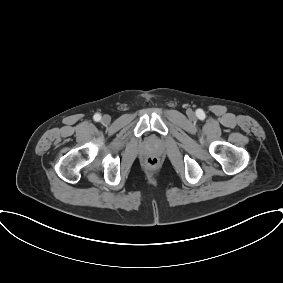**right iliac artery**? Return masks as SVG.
Returning a JSON list of instances; mask_svg holds the SVG:
<instances>
[{"instance_id": "right-iliac-artery-1", "label": "right iliac artery", "mask_w": 283, "mask_h": 283, "mask_svg": "<svg viewBox=\"0 0 283 283\" xmlns=\"http://www.w3.org/2000/svg\"><path fill=\"white\" fill-rule=\"evenodd\" d=\"M93 118H94V120L97 121V122L101 120L100 114H95Z\"/></svg>"}]
</instances>
